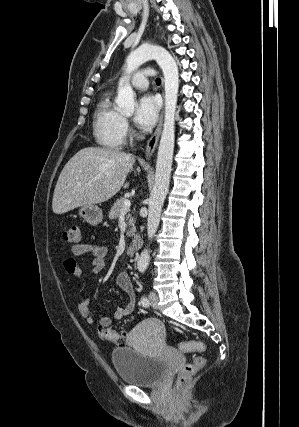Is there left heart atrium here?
Listing matches in <instances>:
<instances>
[{
	"label": "left heart atrium",
	"mask_w": 299,
	"mask_h": 427,
	"mask_svg": "<svg viewBox=\"0 0 299 427\" xmlns=\"http://www.w3.org/2000/svg\"><path fill=\"white\" fill-rule=\"evenodd\" d=\"M159 112V103L152 95H145L138 101L134 114V122L142 130L151 129L157 119Z\"/></svg>",
	"instance_id": "obj_1"
}]
</instances>
